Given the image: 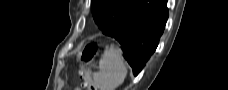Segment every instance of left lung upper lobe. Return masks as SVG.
Masks as SVG:
<instances>
[{
    "label": "left lung upper lobe",
    "instance_id": "1",
    "mask_svg": "<svg viewBox=\"0 0 228 90\" xmlns=\"http://www.w3.org/2000/svg\"><path fill=\"white\" fill-rule=\"evenodd\" d=\"M133 0H91L93 18L104 31L126 10H130Z\"/></svg>",
    "mask_w": 228,
    "mask_h": 90
}]
</instances>
